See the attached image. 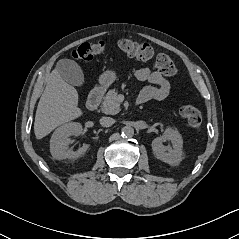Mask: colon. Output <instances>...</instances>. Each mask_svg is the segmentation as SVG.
<instances>
[{
    "label": "colon",
    "instance_id": "obj_1",
    "mask_svg": "<svg viewBox=\"0 0 239 239\" xmlns=\"http://www.w3.org/2000/svg\"><path fill=\"white\" fill-rule=\"evenodd\" d=\"M118 47L126 54L137 59L148 61L154 60L156 67L162 75L173 76L176 73L174 62L164 53H157L149 44L137 43L136 41L124 38L117 42ZM105 50V42L83 43L71 52V57L77 61H90L94 56ZM181 117L192 128L199 130L202 126L201 111L193 105H184L180 109Z\"/></svg>",
    "mask_w": 239,
    "mask_h": 239
}]
</instances>
